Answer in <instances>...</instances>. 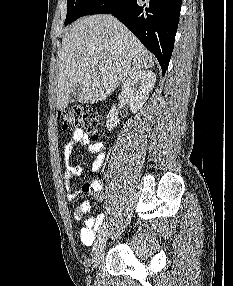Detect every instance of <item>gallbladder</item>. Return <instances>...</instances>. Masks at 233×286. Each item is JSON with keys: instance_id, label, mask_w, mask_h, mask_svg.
<instances>
[{"instance_id": "obj_1", "label": "gallbladder", "mask_w": 233, "mask_h": 286, "mask_svg": "<svg viewBox=\"0 0 233 286\" xmlns=\"http://www.w3.org/2000/svg\"><path fill=\"white\" fill-rule=\"evenodd\" d=\"M82 91V85L74 86L69 94V103L78 102V96Z\"/></svg>"}]
</instances>
